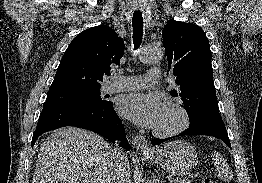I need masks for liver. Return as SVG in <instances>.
<instances>
[{"label": "liver", "mask_w": 262, "mask_h": 183, "mask_svg": "<svg viewBox=\"0 0 262 183\" xmlns=\"http://www.w3.org/2000/svg\"><path fill=\"white\" fill-rule=\"evenodd\" d=\"M109 147L93 132L58 129L41 145L32 183H110Z\"/></svg>", "instance_id": "6515ba94"}]
</instances>
